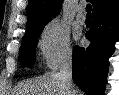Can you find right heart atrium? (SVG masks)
I'll return each instance as SVG.
<instances>
[{"instance_id":"d8ad5b80","label":"right heart atrium","mask_w":119,"mask_h":95,"mask_svg":"<svg viewBox=\"0 0 119 95\" xmlns=\"http://www.w3.org/2000/svg\"><path fill=\"white\" fill-rule=\"evenodd\" d=\"M37 45L45 65L50 69H56L72 56L69 28L58 19H53L44 26Z\"/></svg>"}]
</instances>
